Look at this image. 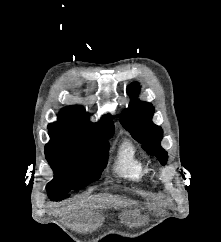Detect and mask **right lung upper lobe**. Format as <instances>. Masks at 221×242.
<instances>
[{
    "instance_id": "1",
    "label": "right lung upper lobe",
    "mask_w": 221,
    "mask_h": 242,
    "mask_svg": "<svg viewBox=\"0 0 221 242\" xmlns=\"http://www.w3.org/2000/svg\"><path fill=\"white\" fill-rule=\"evenodd\" d=\"M49 131H65L88 138H107L114 134V125L110 115L102 117L99 123L89 121V116L81 106H69L58 116V122L48 126Z\"/></svg>"
}]
</instances>
